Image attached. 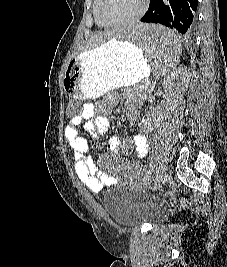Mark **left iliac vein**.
Returning <instances> with one entry per match:
<instances>
[{"instance_id":"1","label":"left iliac vein","mask_w":227,"mask_h":267,"mask_svg":"<svg viewBox=\"0 0 227 267\" xmlns=\"http://www.w3.org/2000/svg\"><path fill=\"white\" fill-rule=\"evenodd\" d=\"M166 179H167L166 169H162L154 181L153 189L157 190L161 188L164 182L166 181Z\"/></svg>"}]
</instances>
